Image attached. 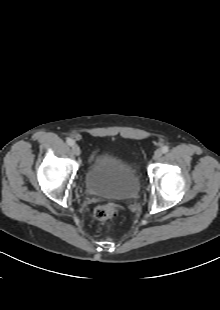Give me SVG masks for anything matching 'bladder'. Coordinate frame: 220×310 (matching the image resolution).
<instances>
[{"label":"bladder","mask_w":220,"mask_h":310,"mask_svg":"<svg viewBox=\"0 0 220 310\" xmlns=\"http://www.w3.org/2000/svg\"><path fill=\"white\" fill-rule=\"evenodd\" d=\"M83 185L92 195L130 200L138 195L141 180L137 171L127 161L106 153L85 171Z\"/></svg>","instance_id":"31cf9c89"}]
</instances>
